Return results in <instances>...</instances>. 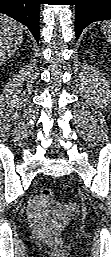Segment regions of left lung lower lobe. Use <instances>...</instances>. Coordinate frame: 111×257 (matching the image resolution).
Listing matches in <instances>:
<instances>
[{"label":"left lung lower lobe","mask_w":111,"mask_h":257,"mask_svg":"<svg viewBox=\"0 0 111 257\" xmlns=\"http://www.w3.org/2000/svg\"><path fill=\"white\" fill-rule=\"evenodd\" d=\"M76 39L90 23L111 19V0H76Z\"/></svg>","instance_id":"0a47b994"}]
</instances>
